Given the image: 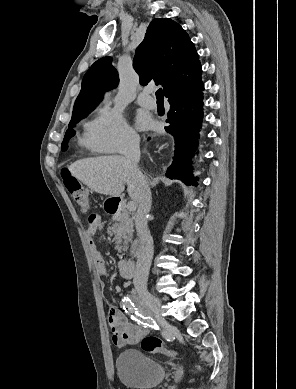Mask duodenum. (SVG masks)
<instances>
[{"instance_id":"duodenum-1","label":"duodenum","mask_w":296,"mask_h":389,"mask_svg":"<svg viewBox=\"0 0 296 389\" xmlns=\"http://www.w3.org/2000/svg\"><path fill=\"white\" fill-rule=\"evenodd\" d=\"M120 209H121V201L119 198L112 199L109 202L108 207H107V211L110 214H116ZM150 250H151V247L149 245H147L142 252L141 258H144L145 256H147V254L150 252ZM135 267H136V264L132 260L122 261L118 265L120 275L126 279H130L134 276Z\"/></svg>"}]
</instances>
